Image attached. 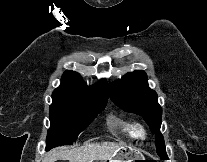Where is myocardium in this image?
I'll list each match as a JSON object with an SVG mask.
<instances>
[{
	"instance_id": "1",
	"label": "myocardium",
	"mask_w": 207,
	"mask_h": 162,
	"mask_svg": "<svg viewBox=\"0 0 207 162\" xmlns=\"http://www.w3.org/2000/svg\"><path fill=\"white\" fill-rule=\"evenodd\" d=\"M135 133L138 137H144L145 136V129L142 125H137L135 129Z\"/></svg>"
}]
</instances>
